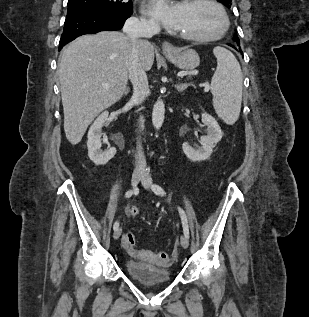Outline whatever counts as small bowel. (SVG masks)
Listing matches in <instances>:
<instances>
[{
	"label": "small bowel",
	"mask_w": 309,
	"mask_h": 317,
	"mask_svg": "<svg viewBox=\"0 0 309 317\" xmlns=\"http://www.w3.org/2000/svg\"><path fill=\"white\" fill-rule=\"evenodd\" d=\"M131 210H132V209L129 210L130 213H131ZM127 248H128V247H127ZM128 251H129V253H131V254H133V255L136 254V250H135L133 247L128 248Z\"/></svg>",
	"instance_id": "c3829d8e"
}]
</instances>
